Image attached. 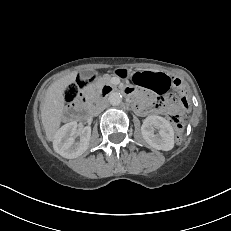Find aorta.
Here are the masks:
<instances>
[{"instance_id":"aorta-1","label":"aorta","mask_w":231,"mask_h":231,"mask_svg":"<svg viewBox=\"0 0 231 231\" xmlns=\"http://www.w3.org/2000/svg\"><path fill=\"white\" fill-rule=\"evenodd\" d=\"M109 102L113 106H117L122 102V95L119 92H111L109 95Z\"/></svg>"}]
</instances>
